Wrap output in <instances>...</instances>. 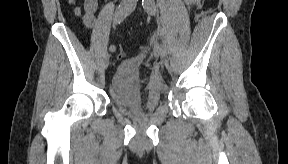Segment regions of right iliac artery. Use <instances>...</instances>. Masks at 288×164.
Wrapping results in <instances>:
<instances>
[{"label": "right iliac artery", "mask_w": 288, "mask_h": 164, "mask_svg": "<svg viewBox=\"0 0 288 164\" xmlns=\"http://www.w3.org/2000/svg\"><path fill=\"white\" fill-rule=\"evenodd\" d=\"M128 15L123 9H118L114 16V25H119ZM116 47L114 45H110L109 51L115 52Z\"/></svg>", "instance_id": "1"}]
</instances>
